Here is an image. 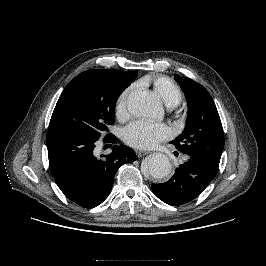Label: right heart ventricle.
Returning <instances> with one entry per match:
<instances>
[{
  "mask_svg": "<svg viewBox=\"0 0 266 266\" xmlns=\"http://www.w3.org/2000/svg\"><path fill=\"white\" fill-rule=\"evenodd\" d=\"M151 83L162 100L170 107L178 105L183 99L180 87L169 77L156 76L148 77L141 81V84Z\"/></svg>",
  "mask_w": 266,
  "mask_h": 266,
  "instance_id": "obj_1",
  "label": "right heart ventricle"
}]
</instances>
